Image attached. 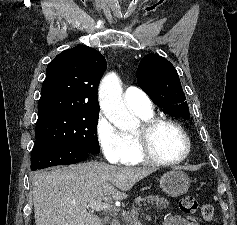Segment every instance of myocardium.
<instances>
[{
	"mask_svg": "<svg viewBox=\"0 0 237 225\" xmlns=\"http://www.w3.org/2000/svg\"><path fill=\"white\" fill-rule=\"evenodd\" d=\"M164 125L175 128L182 135L185 141V153L175 160L160 158L153 148V135L159 127ZM134 139L137 145L138 153L143 159V162L145 161L156 165L173 166L180 164L188 158L191 152V140L187 132L179 123L170 119L151 118L143 121L138 130L134 133Z\"/></svg>",
	"mask_w": 237,
	"mask_h": 225,
	"instance_id": "f54148a6",
	"label": "myocardium"
}]
</instances>
